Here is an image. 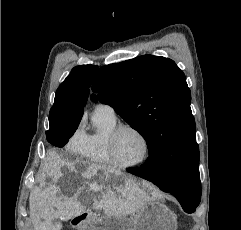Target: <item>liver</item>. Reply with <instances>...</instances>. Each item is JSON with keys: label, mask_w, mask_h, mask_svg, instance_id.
Masks as SVG:
<instances>
[{"label": "liver", "mask_w": 241, "mask_h": 230, "mask_svg": "<svg viewBox=\"0 0 241 230\" xmlns=\"http://www.w3.org/2000/svg\"><path fill=\"white\" fill-rule=\"evenodd\" d=\"M48 160V175L51 177L52 184L45 187L46 181L45 175H43L38 179L39 186L34 187L29 197L30 217L35 230H60L62 225L53 223V218L70 219L82 214L85 206L77 200V197L83 191L96 192L101 196L100 200L94 198L93 206L103 209L107 217L123 218L134 214L152 199L145 191V185L140 187L133 181L113 184L111 182L113 174L123 175L117 169L97 164L79 166V161L62 159L55 152L49 154ZM78 175H81L85 182L78 187L74 196L67 197L61 194L60 187L57 186L59 180L61 178L70 179Z\"/></svg>", "instance_id": "1"}]
</instances>
